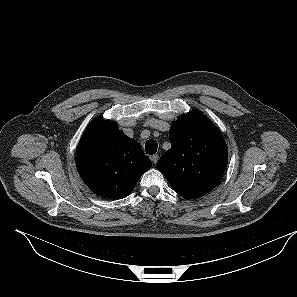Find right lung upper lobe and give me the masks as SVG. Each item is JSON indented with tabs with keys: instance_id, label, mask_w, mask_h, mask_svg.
Masks as SVG:
<instances>
[{
	"instance_id": "right-lung-upper-lobe-1",
	"label": "right lung upper lobe",
	"mask_w": 297,
	"mask_h": 297,
	"mask_svg": "<svg viewBox=\"0 0 297 297\" xmlns=\"http://www.w3.org/2000/svg\"><path fill=\"white\" fill-rule=\"evenodd\" d=\"M76 166L94 193L122 199L132 192L152 163L141 146L115 123L97 118L88 125L78 144Z\"/></svg>"
}]
</instances>
